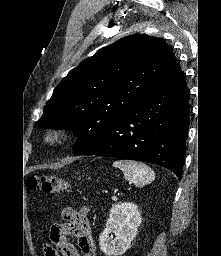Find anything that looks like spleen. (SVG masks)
I'll return each instance as SVG.
<instances>
[{
  "mask_svg": "<svg viewBox=\"0 0 221 256\" xmlns=\"http://www.w3.org/2000/svg\"><path fill=\"white\" fill-rule=\"evenodd\" d=\"M113 167L119 168L125 178L136 187H143L155 179L154 171L140 162L117 160L113 162Z\"/></svg>",
  "mask_w": 221,
  "mask_h": 256,
  "instance_id": "3e777b00",
  "label": "spleen"
}]
</instances>
